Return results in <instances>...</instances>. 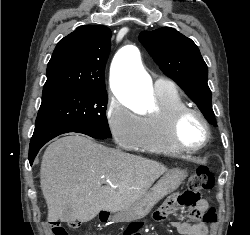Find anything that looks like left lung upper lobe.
Masks as SVG:
<instances>
[{"label": "left lung upper lobe", "mask_w": 250, "mask_h": 235, "mask_svg": "<svg viewBox=\"0 0 250 235\" xmlns=\"http://www.w3.org/2000/svg\"><path fill=\"white\" fill-rule=\"evenodd\" d=\"M139 40L160 69L185 91L205 118L216 125L207 84L208 69L196 44L170 27L143 31Z\"/></svg>", "instance_id": "obj_1"}]
</instances>
